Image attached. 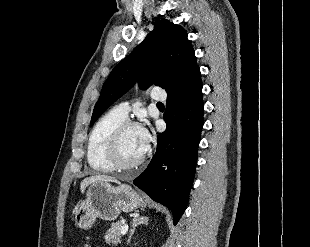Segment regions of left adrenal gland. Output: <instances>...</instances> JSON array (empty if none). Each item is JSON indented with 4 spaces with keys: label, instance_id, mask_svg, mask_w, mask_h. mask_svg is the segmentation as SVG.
Here are the masks:
<instances>
[{
    "label": "left adrenal gland",
    "instance_id": "obj_1",
    "mask_svg": "<svg viewBox=\"0 0 310 247\" xmlns=\"http://www.w3.org/2000/svg\"><path fill=\"white\" fill-rule=\"evenodd\" d=\"M140 224H148V218L145 216H141L139 218L133 219L132 225H131L132 228L130 230V235H129L128 240H127V245L130 244V241H131V238L134 234V231H135L136 227Z\"/></svg>",
    "mask_w": 310,
    "mask_h": 247
}]
</instances>
